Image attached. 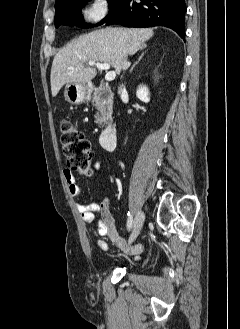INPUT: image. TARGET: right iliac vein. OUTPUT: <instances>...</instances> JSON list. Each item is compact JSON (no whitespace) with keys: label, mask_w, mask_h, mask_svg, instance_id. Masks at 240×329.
I'll list each match as a JSON object with an SVG mask.
<instances>
[{"label":"right iliac vein","mask_w":240,"mask_h":329,"mask_svg":"<svg viewBox=\"0 0 240 329\" xmlns=\"http://www.w3.org/2000/svg\"><path fill=\"white\" fill-rule=\"evenodd\" d=\"M143 223H144V213L142 211H138L134 220L133 230L128 241L129 244L135 241V239L137 238L143 227Z\"/></svg>","instance_id":"63e3f726"}]
</instances>
